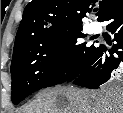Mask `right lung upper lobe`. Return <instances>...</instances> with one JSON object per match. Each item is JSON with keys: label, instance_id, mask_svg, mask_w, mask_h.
I'll use <instances>...</instances> for the list:
<instances>
[{"label": "right lung upper lobe", "instance_id": "obj_1", "mask_svg": "<svg viewBox=\"0 0 123 113\" xmlns=\"http://www.w3.org/2000/svg\"><path fill=\"white\" fill-rule=\"evenodd\" d=\"M119 0H32L24 9L14 48L42 37L82 28V18L97 4L100 21Z\"/></svg>", "mask_w": 123, "mask_h": 113}]
</instances>
